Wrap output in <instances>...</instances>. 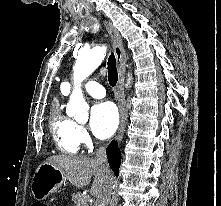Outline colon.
<instances>
[{
    "mask_svg": "<svg viewBox=\"0 0 221 206\" xmlns=\"http://www.w3.org/2000/svg\"><path fill=\"white\" fill-rule=\"evenodd\" d=\"M31 206H47L46 204L42 203V202H35L34 204H32Z\"/></svg>",
    "mask_w": 221,
    "mask_h": 206,
    "instance_id": "obj_1",
    "label": "colon"
}]
</instances>
